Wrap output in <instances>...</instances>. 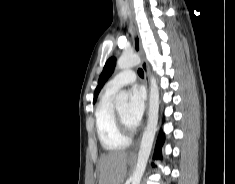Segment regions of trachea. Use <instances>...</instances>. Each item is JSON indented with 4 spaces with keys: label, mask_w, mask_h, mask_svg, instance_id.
<instances>
[{
    "label": "trachea",
    "mask_w": 235,
    "mask_h": 184,
    "mask_svg": "<svg viewBox=\"0 0 235 184\" xmlns=\"http://www.w3.org/2000/svg\"><path fill=\"white\" fill-rule=\"evenodd\" d=\"M138 74L140 77H142V78L144 77V72L141 68L138 69Z\"/></svg>",
    "instance_id": "trachea-1"
}]
</instances>
